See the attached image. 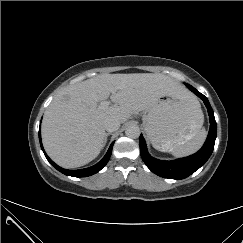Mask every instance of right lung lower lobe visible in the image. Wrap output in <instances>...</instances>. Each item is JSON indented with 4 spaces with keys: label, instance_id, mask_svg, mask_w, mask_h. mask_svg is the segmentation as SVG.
Listing matches in <instances>:
<instances>
[{
    "label": "right lung lower lobe",
    "instance_id": "98d812e1",
    "mask_svg": "<svg viewBox=\"0 0 243 243\" xmlns=\"http://www.w3.org/2000/svg\"><path fill=\"white\" fill-rule=\"evenodd\" d=\"M39 140H40V145L41 148L45 154V157L47 158V160L51 163L52 166H54L58 171H60L61 173L68 175V176H73V177H86V176H90L93 175L97 172H99L108 162L111 153H112V148H113V144L114 142L110 145L106 155L103 157V159L98 162L96 165L91 166L89 168H85V169H79V170H67V169H63L61 167H59L57 164H55L45 153L42 143H41V135H40V131H39Z\"/></svg>",
    "mask_w": 243,
    "mask_h": 243
}]
</instances>
